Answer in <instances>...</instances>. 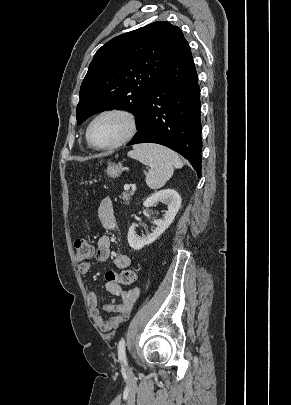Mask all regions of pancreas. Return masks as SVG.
<instances>
[{
  "mask_svg": "<svg viewBox=\"0 0 291 405\" xmlns=\"http://www.w3.org/2000/svg\"><path fill=\"white\" fill-rule=\"evenodd\" d=\"M133 195V193L129 192H123L120 196V198L123 200L125 204H129L130 197Z\"/></svg>",
  "mask_w": 291,
  "mask_h": 405,
  "instance_id": "cf45deb5",
  "label": "pancreas"
}]
</instances>
